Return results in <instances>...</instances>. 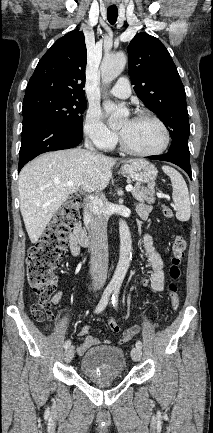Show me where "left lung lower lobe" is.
Wrapping results in <instances>:
<instances>
[{"label":"left lung lower lobe","mask_w":213,"mask_h":433,"mask_svg":"<svg viewBox=\"0 0 213 433\" xmlns=\"http://www.w3.org/2000/svg\"><path fill=\"white\" fill-rule=\"evenodd\" d=\"M147 158L153 159V160H161V161H167V162L174 163V164L178 165L179 167H181L189 175V177L192 179L189 154H185V153L180 152V151H168L164 155L149 156Z\"/></svg>","instance_id":"left-lung-lower-lobe-1"}]
</instances>
